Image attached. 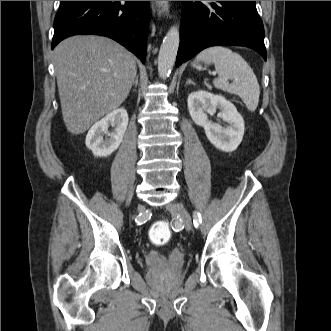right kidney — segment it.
Instances as JSON below:
<instances>
[{"instance_id": "right-kidney-1", "label": "right kidney", "mask_w": 331, "mask_h": 331, "mask_svg": "<svg viewBox=\"0 0 331 331\" xmlns=\"http://www.w3.org/2000/svg\"><path fill=\"white\" fill-rule=\"evenodd\" d=\"M113 127L109 131V127ZM128 126V114L124 108L116 109L96 122L86 135V146L96 157H107L118 149ZM107 137L104 139L103 135Z\"/></svg>"}]
</instances>
